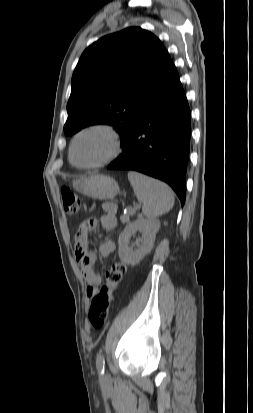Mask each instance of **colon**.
I'll use <instances>...</instances> for the list:
<instances>
[{
	"label": "colon",
	"instance_id": "obj_1",
	"mask_svg": "<svg viewBox=\"0 0 253 413\" xmlns=\"http://www.w3.org/2000/svg\"><path fill=\"white\" fill-rule=\"evenodd\" d=\"M61 198L65 211L70 215L80 212L81 205L77 196L67 187L62 188ZM126 273V266L121 262H114L105 273V283L91 297L88 310V322L91 327L98 329L104 326L109 316V305L117 286Z\"/></svg>",
	"mask_w": 253,
	"mask_h": 413
}]
</instances>
